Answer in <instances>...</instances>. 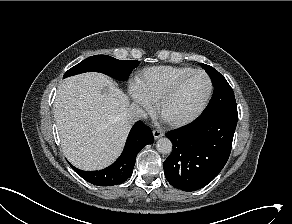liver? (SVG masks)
<instances>
[{"instance_id":"liver-1","label":"liver","mask_w":292,"mask_h":224,"mask_svg":"<svg viewBox=\"0 0 292 224\" xmlns=\"http://www.w3.org/2000/svg\"><path fill=\"white\" fill-rule=\"evenodd\" d=\"M129 105L128 96L103 74L65 79L58 87L54 115L67 159L86 171L110 165L131 128Z\"/></svg>"}]
</instances>
